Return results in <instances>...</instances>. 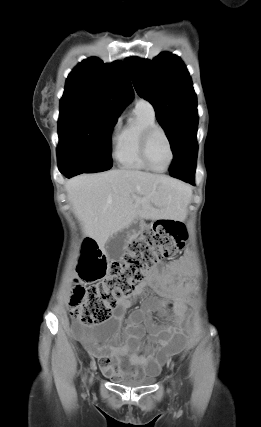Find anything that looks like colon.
Returning <instances> with one entry per match:
<instances>
[{"label": "colon", "mask_w": 261, "mask_h": 427, "mask_svg": "<svg viewBox=\"0 0 261 427\" xmlns=\"http://www.w3.org/2000/svg\"><path fill=\"white\" fill-rule=\"evenodd\" d=\"M186 238L181 223L157 221L132 240L122 259L115 262H108L97 243L86 239L79 272L82 279L94 284L75 287L70 301L71 315L85 326L109 320L117 300L130 295L155 265L177 255Z\"/></svg>", "instance_id": "colon-1"}]
</instances>
